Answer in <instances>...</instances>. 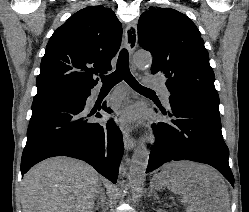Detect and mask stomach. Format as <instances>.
<instances>
[{
    "mask_svg": "<svg viewBox=\"0 0 249 212\" xmlns=\"http://www.w3.org/2000/svg\"><path fill=\"white\" fill-rule=\"evenodd\" d=\"M162 188H167V185H162Z\"/></svg>",
    "mask_w": 249,
    "mask_h": 212,
    "instance_id": "0dacf381",
    "label": "stomach"
}]
</instances>
